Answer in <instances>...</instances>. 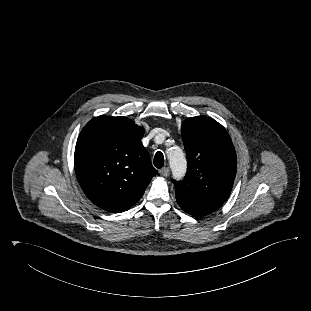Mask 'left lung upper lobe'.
<instances>
[{"label":"left lung upper lobe","mask_w":311,"mask_h":311,"mask_svg":"<svg viewBox=\"0 0 311 311\" xmlns=\"http://www.w3.org/2000/svg\"><path fill=\"white\" fill-rule=\"evenodd\" d=\"M188 168L175 188L194 197L223 204L229 197L237 171L232 140L214 119L197 116L186 119L181 127Z\"/></svg>","instance_id":"obj_1"}]
</instances>
